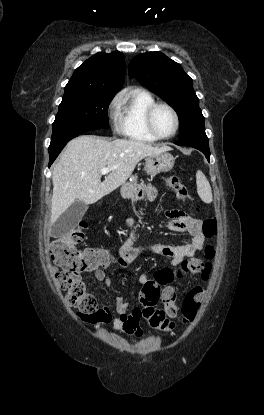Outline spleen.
Here are the masks:
<instances>
[{"mask_svg": "<svg viewBox=\"0 0 264 415\" xmlns=\"http://www.w3.org/2000/svg\"><path fill=\"white\" fill-rule=\"evenodd\" d=\"M197 192L201 200L205 203L212 202L211 186L202 171L198 170L196 173Z\"/></svg>", "mask_w": 264, "mask_h": 415, "instance_id": "1", "label": "spleen"}]
</instances>
